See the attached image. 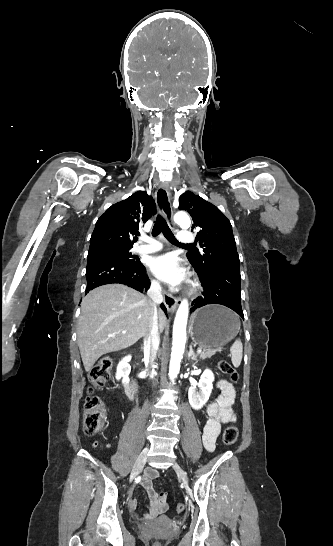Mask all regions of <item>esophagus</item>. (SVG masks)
I'll return each instance as SVG.
<instances>
[{"instance_id":"1","label":"esophagus","mask_w":333,"mask_h":546,"mask_svg":"<svg viewBox=\"0 0 333 546\" xmlns=\"http://www.w3.org/2000/svg\"><path fill=\"white\" fill-rule=\"evenodd\" d=\"M170 190L167 186L160 185L156 191V204L160 213L164 214L171 228H175L173 222V210L170 201ZM179 302V298L173 296L169 292H164V304L168 311L173 312Z\"/></svg>"}]
</instances>
